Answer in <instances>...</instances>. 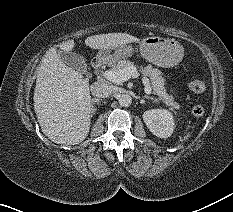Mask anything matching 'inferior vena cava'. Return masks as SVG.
<instances>
[{"label": "inferior vena cava", "instance_id": "inferior-vena-cava-1", "mask_svg": "<svg viewBox=\"0 0 233 212\" xmlns=\"http://www.w3.org/2000/svg\"><path fill=\"white\" fill-rule=\"evenodd\" d=\"M116 91L113 85L107 83L95 82L91 85V92L93 96L98 98H108Z\"/></svg>", "mask_w": 233, "mask_h": 212}]
</instances>
